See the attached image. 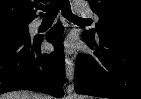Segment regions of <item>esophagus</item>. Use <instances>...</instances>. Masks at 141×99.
Masks as SVG:
<instances>
[{
	"label": "esophagus",
	"instance_id": "34e87169",
	"mask_svg": "<svg viewBox=\"0 0 141 99\" xmlns=\"http://www.w3.org/2000/svg\"><path fill=\"white\" fill-rule=\"evenodd\" d=\"M65 73H66V78L68 79V81L70 83L67 86L66 91L69 95H71L74 91V86L72 84L73 79H74V62L69 57L66 58Z\"/></svg>",
	"mask_w": 141,
	"mask_h": 99
}]
</instances>
